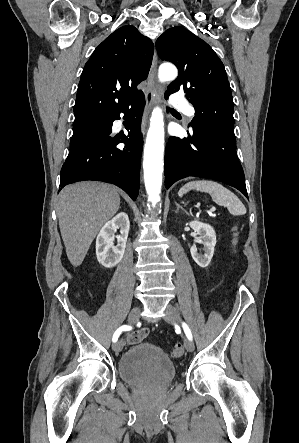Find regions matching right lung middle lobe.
<instances>
[{"label":"right lung middle lobe","instance_id":"obj_1","mask_svg":"<svg viewBox=\"0 0 299 443\" xmlns=\"http://www.w3.org/2000/svg\"><path fill=\"white\" fill-rule=\"evenodd\" d=\"M105 130V122L102 117L91 118L79 123H75L73 127L70 150L78 147L91 137L104 133Z\"/></svg>","mask_w":299,"mask_h":443}]
</instances>
